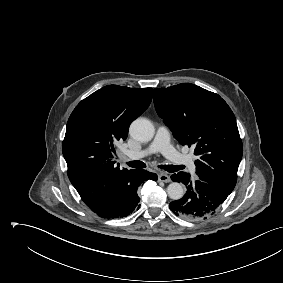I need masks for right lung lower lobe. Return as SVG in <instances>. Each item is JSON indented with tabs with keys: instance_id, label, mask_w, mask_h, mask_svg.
I'll list each match as a JSON object with an SVG mask.
<instances>
[{
	"instance_id": "right-lung-lower-lobe-1",
	"label": "right lung lower lobe",
	"mask_w": 283,
	"mask_h": 283,
	"mask_svg": "<svg viewBox=\"0 0 283 283\" xmlns=\"http://www.w3.org/2000/svg\"><path fill=\"white\" fill-rule=\"evenodd\" d=\"M147 179L157 181L158 177L155 173L146 170H135L128 193L94 212L104 218H121L128 216L136 208H139L138 203L140 198L137 195V189L139 185Z\"/></svg>"
}]
</instances>
